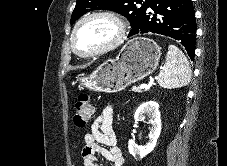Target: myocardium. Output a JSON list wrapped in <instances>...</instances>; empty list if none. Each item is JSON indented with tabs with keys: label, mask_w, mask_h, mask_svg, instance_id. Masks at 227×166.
Segmentation results:
<instances>
[{
	"label": "myocardium",
	"mask_w": 227,
	"mask_h": 166,
	"mask_svg": "<svg viewBox=\"0 0 227 166\" xmlns=\"http://www.w3.org/2000/svg\"><path fill=\"white\" fill-rule=\"evenodd\" d=\"M93 18H106V19L110 20L112 23H114V25L117 28V35L111 42H109L108 44L104 45L103 47H101L97 50H94L91 52H82L76 47L75 36H76L78 29L86 21L93 19ZM126 36H127L126 26H125L124 22L119 18V16H117L116 14H114L112 12H108V11H96V12H92V13H89V14L83 16L76 22V24L74 25V27L72 29L71 35H70V44H71L72 50L77 55L82 56V57H95V56L103 55V54L110 52V51L114 50L115 48H117L119 45H121L123 43Z\"/></svg>",
	"instance_id": "1"
}]
</instances>
